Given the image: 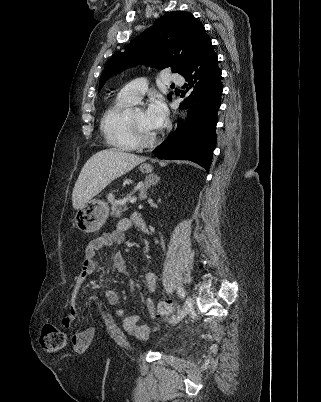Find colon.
I'll use <instances>...</instances> for the list:
<instances>
[{
    "instance_id": "colon-1",
    "label": "colon",
    "mask_w": 321,
    "mask_h": 402,
    "mask_svg": "<svg viewBox=\"0 0 321 402\" xmlns=\"http://www.w3.org/2000/svg\"><path fill=\"white\" fill-rule=\"evenodd\" d=\"M173 304L170 301H161L157 305L158 316H169L173 313ZM41 346L44 351L55 353L62 350L67 341L66 334L54 324H45L41 332Z\"/></svg>"
}]
</instances>
